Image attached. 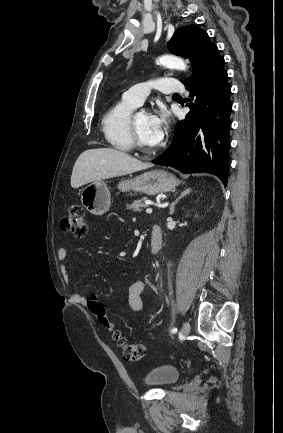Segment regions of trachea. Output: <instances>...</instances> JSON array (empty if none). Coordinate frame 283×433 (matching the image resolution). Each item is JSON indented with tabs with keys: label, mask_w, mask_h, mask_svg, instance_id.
<instances>
[{
	"label": "trachea",
	"mask_w": 283,
	"mask_h": 433,
	"mask_svg": "<svg viewBox=\"0 0 283 433\" xmlns=\"http://www.w3.org/2000/svg\"><path fill=\"white\" fill-rule=\"evenodd\" d=\"M173 95H179V93H174Z\"/></svg>",
	"instance_id": "trachea-1"
}]
</instances>
